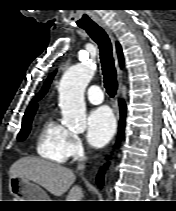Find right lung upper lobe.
I'll use <instances>...</instances> for the list:
<instances>
[{"label": "right lung upper lobe", "mask_w": 176, "mask_h": 211, "mask_svg": "<svg viewBox=\"0 0 176 211\" xmlns=\"http://www.w3.org/2000/svg\"><path fill=\"white\" fill-rule=\"evenodd\" d=\"M117 51H118V56H119V61H120V66L123 65V57H122V51H121V47L120 45L117 43ZM55 73H52L48 79L46 80L45 84H44V87L43 89L40 91V93L31 101L29 107L27 108L26 112H25V115H29V114H33L35 113L36 109H37V101L40 100L47 92V89L50 85V82L53 78Z\"/></svg>", "instance_id": "right-lung-upper-lobe-1"}]
</instances>
